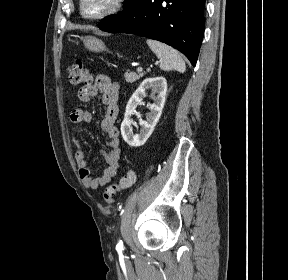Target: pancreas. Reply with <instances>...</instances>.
I'll return each instance as SVG.
<instances>
[{
	"label": "pancreas",
	"instance_id": "cf45deb5",
	"mask_svg": "<svg viewBox=\"0 0 288 280\" xmlns=\"http://www.w3.org/2000/svg\"><path fill=\"white\" fill-rule=\"evenodd\" d=\"M143 75L144 73H135V72L127 71L124 74V77L127 83H134L135 81L143 77Z\"/></svg>",
	"mask_w": 288,
	"mask_h": 280
}]
</instances>
